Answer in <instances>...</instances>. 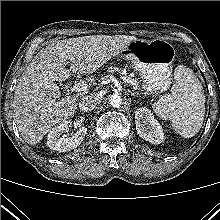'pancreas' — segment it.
<instances>
[{"label": "pancreas", "mask_w": 220, "mask_h": 220, "mask_svg": "<svg viewBox=\"0 0 220 220\" xmlns=\"http://www.w3.org/2000/svg\"><path fill=\"white\" fill-rule=\"evenodd\" d=\"M116 71H119V68H117V67H110V68L108 69V72H109V73H113V72H116Z\"/></svg>", "instance_id": "obj_1"}]
</instances>
